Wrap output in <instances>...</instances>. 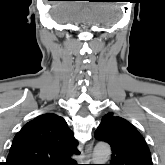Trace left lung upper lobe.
<instances>
[{
  "label": "left lung upper lobe",
  "mask_w": 165,
  "mask_h": 165,
  "mask_svg": "<svg viewBox=\"0 0 165 165\" xmlns=\"http://www.w3.org/2000/svg\"><path fill=\"white\" fill-rule=\"evenodd\" d=\"M95 138L110 144V165H152L151 154L142 135L131 123L113 113L102 118Z\"/></svg>",
  "instance_id": "left-lung-upper-lobe-1"
}]
</instances>
